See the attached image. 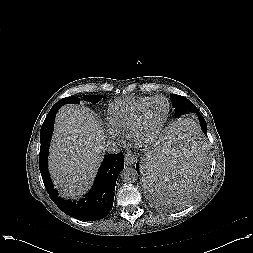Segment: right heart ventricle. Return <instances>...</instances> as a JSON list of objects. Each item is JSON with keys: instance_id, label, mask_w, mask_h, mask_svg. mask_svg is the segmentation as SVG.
Listing matches in <instances>:
<instances>
[{"instance_id": "1", "label": "right heart ventricle", "mask_w": 253, "mask_h": 253, "mask_svg": "<svg viewBox=\"0 0 253 253\" xmlns=\"http://www.w3.org/2000/svg\"><path fill=\"white\" fill-rule=\"evenodd\" d=\"M150 96H126L113 101L108 108L107 120L118 134H129L140 107Z\"/></svg>"}]
</instances>
